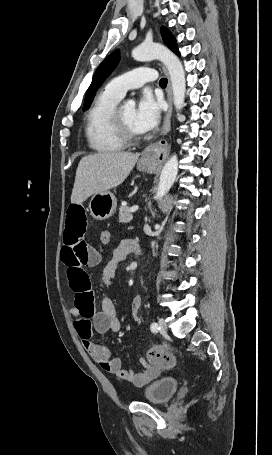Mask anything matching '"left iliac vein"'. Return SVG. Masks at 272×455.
Instances as JSON below:
<instances>
[{
    "instance_id": "4c4485c4",
    "label": "left iliac vein",
    "mask_w": 272,
    "mask_h": 455,
    "mask_svg": "<svg viewBox=\"0 0 272 455\" xmlns=\"http://www.w3.org/2000/svg\"><path fill=\"white\" fill-rule=\"evenodd\" d=\"M158 324H159V330H160V333L161 334H166L167 332V324L166 322L164 321V319L160 318L159 321H158Z\"/></svg>"
}]
</instances>
